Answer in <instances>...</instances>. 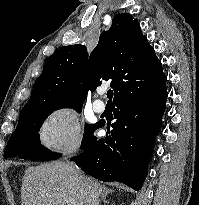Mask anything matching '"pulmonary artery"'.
<instances>
[{
	"label": "pulmonary artery",
	"instance_id": "e3ab8cb5",
	"mask_svg": "<svg viewBox=\"0 0 199 205\" xmlns=\"http://www.w3.org/2000/svg\"><path fill=\"white\" fill-rule=\"evenodd\" d=\"M98 93H99V95H102V94H103L102 91H99ZM93 108H94L95 112H97V113H102V112L105 111L106 105H105V103H104L102 100L96 99V100L94 101V103H93Z\"/></svg>",
	"mask_w": 199,
	"mask_h": 205
}]
</instances>
